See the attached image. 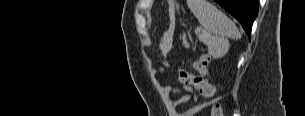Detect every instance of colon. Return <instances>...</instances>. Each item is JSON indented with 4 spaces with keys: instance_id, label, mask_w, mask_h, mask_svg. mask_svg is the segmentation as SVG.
Wrapping results in <instances>:
<instances>
[{
    "instance_id": "1",
    "label": "colon",
    "mask_w": 305,
    "mask_h": 116,
    "mask_svg": "<svg viewBox=\"0 0 305 116\" xmlns=\"http://www.w3.org/2000/svg\"><path fill=\"white\" fill-rule=\"evenodd\" d=\"M169 3L172 10H180L177 1L170 0ZM209 62L210 57L208 55H202L193 65L196 74L190 73L189 70L184 67H180L177 70V74L181 82L192 85L199 90L204 97L211 100V116H224L222 106L215 98V89L206 77Z\"/></svg>"
}]
</instances>
